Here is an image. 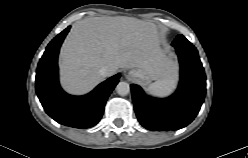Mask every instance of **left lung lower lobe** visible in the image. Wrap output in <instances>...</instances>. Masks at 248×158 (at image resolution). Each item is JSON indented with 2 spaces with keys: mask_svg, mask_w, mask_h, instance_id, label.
<instances>
[{
  "mask_svg": "<svg viewBox=\"0 0 248 158\" xmlns=\"http://www.w3.org/2000/svg\"><path fill=\"white\" fill-rule=\"evenodd\" d=\"M172 46L176 49L181 68L179 86L172 96L151 98L138 85H131L136 116L148 130L168 131L187 126L204 101L206 77L196 48L188 40L177 39Z\"/></svg>",
  "mask_w": 248,
  "mask_h": 158,
  "instance_id": "0a47b994",
  "label": "left lung lower lobe"
}]
</instances>
